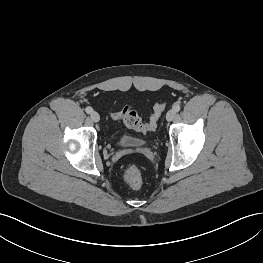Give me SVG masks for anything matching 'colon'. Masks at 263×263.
<instances>
[{
  "mask_svg": "<svg viewBox=\"0 0 263 263\" xmlns=\"http://www.w3.org/2000/svg\"><path fill=\"white\" fill-rule=\"evenodd\" d=\"M165 106V101L157 102L154 105L153 113L148 122H144L129 105H125L119 114L128 127L146 133L155 130ZM122 179L129 187L138 188L143 183L144 174L138 165L130 163L124 167Z\"/></svg>",
  "mask_w": 263,
  "mask_h": 263,
  "instance_id": "1",
  "label": "colon"
}]
</instances>
